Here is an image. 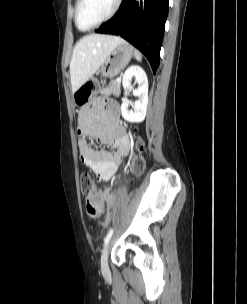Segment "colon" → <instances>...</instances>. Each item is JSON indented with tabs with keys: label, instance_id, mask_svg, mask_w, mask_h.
<instances>
[{
	"label": "colon",
	"instance_id": "obj_1",
	"mask_svg": "<svg viewBox=\"0 0 247 304\" xmlns=\"http://www.w3.org/2000/svg\"><path fill=\"white\" fill-rule=\"evenodd\" d=\"M136 148L140 152L143 149L141 141L136 143ZM144 170V159L140 154L134 156L131 162V172L139 175ZM80 187L82 194L87 197V212L90 217H98L103 211L105 203L109 200L107 191H96L95 179L89 172H83L80 176Z\"/></svg>",
	"mask_w": 247,
	"mask_h": 304
}]
</instances>
